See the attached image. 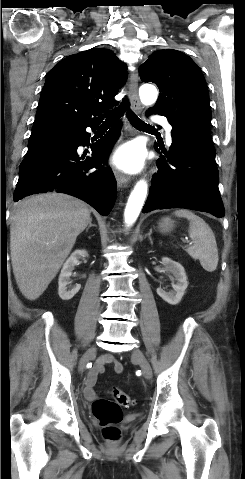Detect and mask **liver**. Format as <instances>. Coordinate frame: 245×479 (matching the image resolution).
<instances>
[{"mask_svg": "<svg viewBox=\"0 0 245 479\" xmlns=\"http://www.w3.org/2000/svg\"><path fill=\"white\" fill-rule=\"evenodd\" d=\"M91 221L84 202L62 193L35 195L16 205L10 226L11 263L28 300L43 294Z\"/></svg>", "mask_w": 245, "mask_h": 479, "instance_id": "1", "label": "liver"}]
</instances>
